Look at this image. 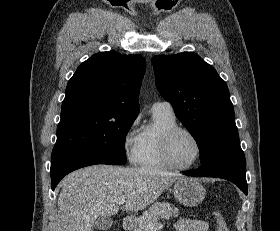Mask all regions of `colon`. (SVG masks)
<instances>
[{"mask_svg":"<svg viewBox=\"0 0 280 231\" xmlns=\"http://www.w3.org/2000/svg\"><path fill=\"white\" fill-rule=\"evenodd\" d=\"M213 216L216 220L217 231H229L227 223L219 210H214Z\"/></svg>","mask_w":280,"mask_h":231,"instance_id":"obj_1","label":"colon"}]
</instances>
